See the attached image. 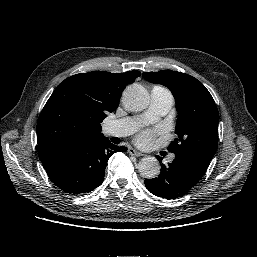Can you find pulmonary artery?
Instances as JSON below:
<instances>
[{"label":"pulmonary artery","mask_w":257,"mask_h":257,"mask_svg":"<svg viewBox=\"0 0 257 257\" xmlns=\"http://www.w3.org/2000/svg\"><path fill=\"white\" fill-rule=\"evenodd\" d=\"M172 93L162 87L155 86L151 90V100L147 111L141 117H129L112 120L107 123L105 132L109 136L122 137L133 133L141 124L151 122L165 115L172 107ZM173 155L170 156L172 160Z\"/></svg>","instance_id":"e3ab8cb5"}]
</instances>
